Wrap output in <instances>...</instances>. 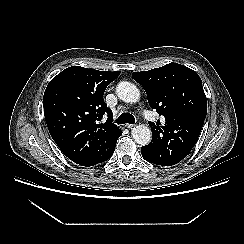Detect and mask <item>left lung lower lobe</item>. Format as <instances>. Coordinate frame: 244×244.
Here are the masks:
<instances>
[{
  "instance_id": "obj_1",
  "label": "left lung lower lobe",
  "mask_w": 244,
  "mask_h": 244,
  "mask_svg": "<svg viewBox=\"0 0 244 244\" xmlns=\"http://www.w3.org/2000/svg\"><path fill=\"white\" fill-rule=\"evenodd\" d=\"M141 153H142L143 158H144L146 161H149V162H151V163H154V162H155L154 155L152 154L151 150L148 149L146 146H143V147L141 148Z\"/></svg>"
}]
</instances>
